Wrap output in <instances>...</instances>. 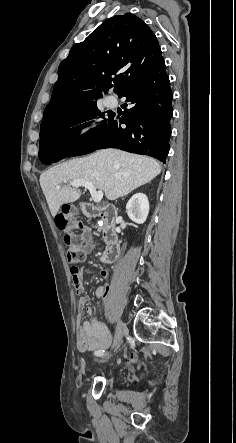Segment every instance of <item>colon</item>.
Returning <instances> with one entry per match:
<instances>
[{
  "instance_id": "5ec220e1",
  "label": "colon",
  "mask_w": 236,
  "mask_h": 443,
  "mask_svg": "<svg viewBox=\"0 0 236 443\" xmlns=\"http://www.w3.org/2000/svg\"><path fill=\"white\" fill-rule=\"evenodd\" d=\"M56 222L59 226L66 229L64 242L68 262L71 264L82 262L85 259V251L83 250L82 239L79 235V232L83 230L82 223L71 220L70 210L60 211L56 216Z\"/></svg>"
}]
</instances>
